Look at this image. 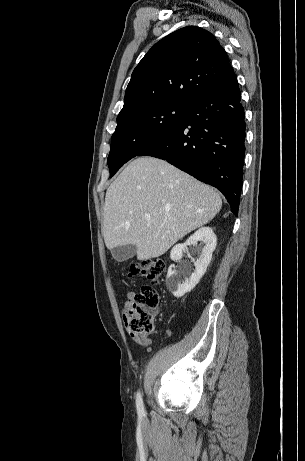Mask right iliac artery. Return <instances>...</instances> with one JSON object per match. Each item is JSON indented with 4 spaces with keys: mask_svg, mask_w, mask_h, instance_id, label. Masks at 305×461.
<instances>
[{
    "mask_svg": "<svg viewBox=\"0 0 305 461\" xmlns=\"http://www.w3.org/2000/svg\"><path fill=\"white\" fill-rule=\"evenodd\" d=\"M136 407H137L138 413L140 415H143L144 414V405H143V401H142V397H141L140 392H138L137 396H136Z\"/></svg>",
    "mask_w": 305,
    "mask_h": 461,
    "instance_id": "82829eb1",
    "label": "right iliac artery"
}]
</instances>
